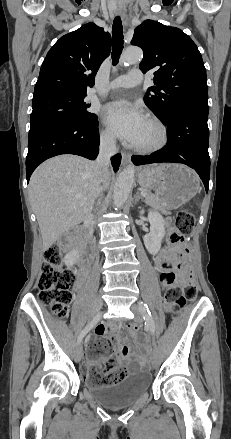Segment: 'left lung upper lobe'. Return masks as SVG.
<instances>
[{"label": "left lung upper lobe", "mask_w": 231, "mask_h": 439, "mask_svg": "<svg viewBox=\"0 0 231 439\" xmlns=\"http://www.w3.org/2000/svg\"><path fill=\"white\" fill-rule=\"evenodd\" d=\"M131 44L143 49L142 72L154 74L155 86L148 88L144 102L160 120L181 104L207 103L202 56L182 30L146 20L135 29Z\"/></svg>", "instance_id": "1"}]
</instances>
